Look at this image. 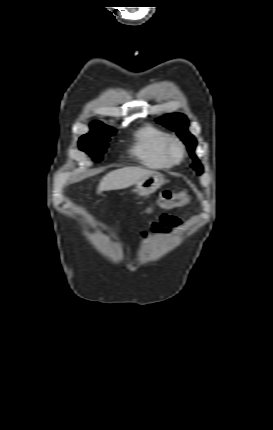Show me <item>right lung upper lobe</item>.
Returning <instances> with one entry per match:
<instances>
[{
  "instance_id": "right-lung-upper-lobe-1",
  "label": "right lung upper lobe",
  "mask_w": 273,
  "mask_h": 430,
  "mask_svg": "<svg viewBox=\"0 0 273 430\" xmlns=\"http://www.w3.org/2000/svg\"><path fill=\"white\" fill-rule=\"evenodd\" d=\"M92 126H94V127H101V128H104V129H111L110 127L102 124L101 122H95V123L92 124Z\"/></svg>"
}]
</instances>
